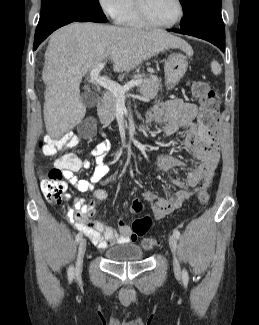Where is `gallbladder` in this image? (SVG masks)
Masks as SVG:
<instances>
[{
    "mask_svg": "<svg viewBox=\"0 0 259 325\" xmlns=\"http://www.w3.org/2000/svg\"><path fill=\"white\" fill-rule=\"evenodd\" d=\"M81 100L85 107H94L98 101V96L95 92L93 91H84L81 94ZM95 127H96V122L93 118H87L86 121L81 122L80 130H79V135L81 136L82 139H95L96 138V133H95Z\"/></svg>",
    "mask_w": 259,
    "mask_h": 325,
    "instance_id": "gallbladder-1",
    "label": "gallbladder"
}]
</instances>
